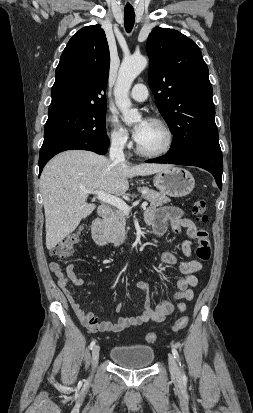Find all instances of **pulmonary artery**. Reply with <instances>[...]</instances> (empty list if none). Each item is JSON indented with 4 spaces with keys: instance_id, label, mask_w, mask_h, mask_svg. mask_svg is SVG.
<instances>
[{
    "instance_id": "obj_1",
    "label": "pulmonary artery",
    "mask_w": 253,
    "mask_h": 413,
    "mask_svg": "<svg viewBox=\"0 0 253 413\" xmlns=\"http://www.w3.org/2000/svg\"><path fill=\"white\" fill-rule=\"evenodd\" d=\"M130 96L133 100L137 102H144L148 98L147 87L142 83L136 84L133 87Z\"/></svg>"
}]
</instances>
